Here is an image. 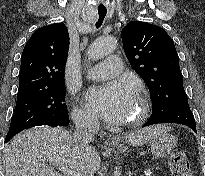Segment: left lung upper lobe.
<instances>
[{
    "instance_id": "left-lung-upper-lobe-1",
    "label": "left lung upper lobe",
    "mask_w": 205,
    "mask_h": 176,
    "mask_svg": "<svg viewBox=\"0 0 205 176\" xmlns=\"http://www.w3.org/2000/svg\"><path fill=\"white\" fill-rule=\"evenodd\" d=\"M121 36L132 68L149 88L153 112L186 96L177 51L164 29L132 21L122 29Z\"/></svg>"
}]
</instances>
